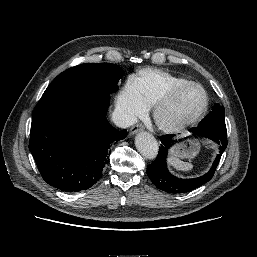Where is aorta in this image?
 Here are the masks:
<instances>
[{
	"instance_id": "obj_1",
	"label": "aorta",
	"mask_w": 257,
	"mask_h": 257,
	"mask_svg": "<svg viewBox=\"0 0 257 257\" xmlns=\"http://www.w3.org/2000/svg\"><path fill=\"white\" fill-rule=\"evenodd\" d=\"M135 145L139 153L147 158L154 159L158 154V143L155 137L148 132H140L135 138Z\"/></svg>"
}]
</instances>
